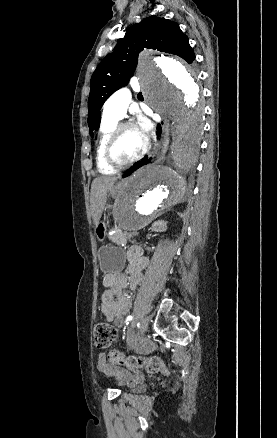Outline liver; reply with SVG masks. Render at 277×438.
Returning a JSON list of instances; mask_svg holds the SVG:
<instances>
[{
  "label": "liver",
  "mask_w": 277,
  "mask_h": 438,
  "mask_svg": "<svg viewBox=\"0 0 277 438\" xmlns=\"http://www.w3.org/2000/svg\"><path fill=\"white\" fill-rule=\"evenodd\" d=\"M117 178L112 176H101V178H95L91 186V210L94 224H98L105 204L107 202V192L114 186Z\"/></svg>",
  "instance_id": "1"
}]
</instances>
